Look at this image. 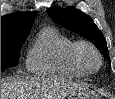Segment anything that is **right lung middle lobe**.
<instances>
[{"label":"right lung middle lobe","mask_w":115,"mask_h":99,"mask_svg":"<svg viewBox=\"0 0 115 99\" xmlns=\"http://www.w3.org/2000/svg\"><path fill=\"white\" fill-rule=\"evenodd\" d=\"M28 34L1 36V70L16 65L20 48Z\"/></svg>","instance_id":"1"}]
</instances>
